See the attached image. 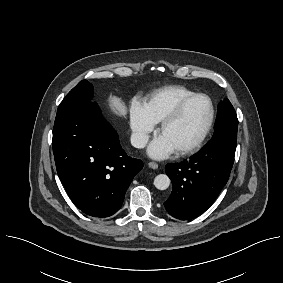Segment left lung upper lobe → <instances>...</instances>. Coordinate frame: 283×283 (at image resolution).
<instances>
[{
	"label": "left lung upper lobe",
	"instance_id": "obj_1",
	"mask_svg": "<svg viewBox=\"0 0 283 283\" xmlns=\"http://www.w3.org/2000/svg\"><path fill=\"white\" fill-rule=\"evenodd\" d=\"M238 119L236 112L228 99L218 105L214 134L207 145H221L236 150Z\"/></svg>",
	"mask_w": 283,
	"mask_h": 283
}]
</instances>
